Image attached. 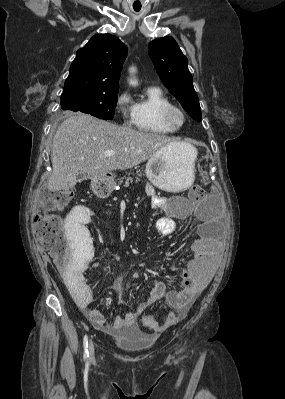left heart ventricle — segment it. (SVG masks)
<instances>
[{
	"mask_svg": "<svg viewBox=\"0 0 285 399\" xmlns=\"http://www.w3.org/2000/svg\"><path fill=\"white\" fill-rule=\"evenodd\" d=\"M175 119H176L177 121H179V120H180V117H179L178 115H175Z\"/></svg>",
	"mask_w": 285,
	"mask_h": 399,
	"instance_id": "1",
	"label": "left heart ventricle"
}]
</instances>
